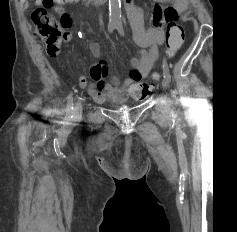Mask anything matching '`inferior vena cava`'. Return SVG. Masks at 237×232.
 <instances>
[{"instance_id": "inferior-vena-cava-1", "label": "inferior vena cava", "mask_w": 237, "mask_h": 232, "mask_svg": "<svg viewBox=\"0 0 237 232\" xmlns=\"http://www.w3.org/2000/svg\"><path fill=\"white\" fill-rule=\"evenodd\" d=\"M94 1H96V2H98V3L102 2V0H94Z\"/></svg>"}]
</instances>
